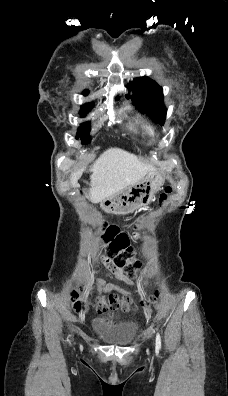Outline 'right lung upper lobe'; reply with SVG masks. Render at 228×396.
Returning a JSON list of instances; mask_svg holds the SVG:
<instances>
[{
    "label": "right lung upper lobe",
    "mask_w": 228,
    "mask_h": 396,
    "mask_svg": "<svg viewBox=\"0 0 228 396\" xmlns=\"http://www.w3.org/2000/svg\"><path fill=\"white\" fill-rule=\"evenodd\" d=\"M88 93V91L86 90V91H84V94H87Z\"/></svg>",
    "instance_id": "cb5924a9"
}]
</instances>
